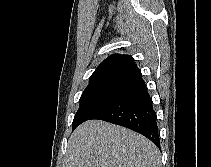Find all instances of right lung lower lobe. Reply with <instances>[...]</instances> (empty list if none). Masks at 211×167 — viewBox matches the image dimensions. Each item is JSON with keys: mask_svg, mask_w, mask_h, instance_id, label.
Wrapping results in <instances>:
<instances>
[{"mask_svg": "<svg viewBox=\"0 0 211 167\" xmlns=\"http://www.w3.org/2000/svg\"><path fill=\"white\" fill-rule=\"evenodd\" d=\"M91 119L124 126L150 139L160 148L157 116L144 80L138 76L131 87Z\"/></svg>", "mask_w": 211, "mask_h": 167, "instance_id": "1", "label": "right lung lower lobe"}]
</instances>
